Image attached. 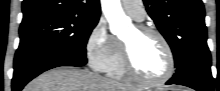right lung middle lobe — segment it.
<instances>
[{"label":"right lung middle lobe","mask_w":220,"mask_h":91,"mask_svg":"<svg viewBox=\"0 0 220 91\" xmlns=\"http://www.w3.org/2000/svg\"><path fill=\"white\" fill-rule=\"evenodd\" d=\"M98 20L69 14L21 23L19 47L54 46L86 57V44Z\"/></svg>","instance_id":"right-lung-middle-lobe-1"}]
</instances>
